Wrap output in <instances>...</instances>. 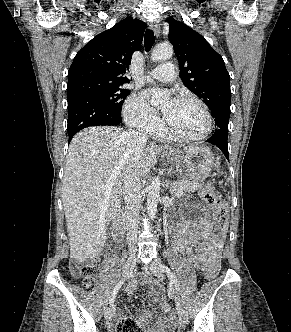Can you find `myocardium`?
<instances>
[{
    "mask_svg": "<svg viewBox=\"0 0 291 332\" xmlns=\"http://www.w3.org/2000/svg\"><path fill=\"white\" fill-rule=\"evenodd\" d=\"M177 101H188V102H193L195 104H197L201 110L203 111L205 118H206V129L205 131L200 134V135H196V136H189V135H184L181 134L179 132H177L176 130H174L167 121L164 122V130L165 132L178 140H183V141H201L206 139L213 131V117L212 114L208 108V106L199 98L194 97V96H190V95H182L179 96L177 99Z\"/></svg>",
    "mask_w": 291,
    "mask_h": 332,
    "instance_id": "1",
    "label": "myocardium"
}]
</instances>
